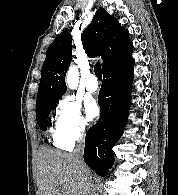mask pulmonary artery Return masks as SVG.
Instances as JSON below:
<instances>
[{"mask_svg":"<svg viewBox=\"0 0 178 195\" xmlns=\"http://www.w3.org/2000/svg\"><path fill=\"white\" fill-rule=\"evenodd\" d=\"M85 87L89 92H96L99 89V83L95 74L88 75Z\"/></svg>","mask_w":178,"mask_h":195,"instance_id":"1","label":"pulmonary artery"}]
</instances>
